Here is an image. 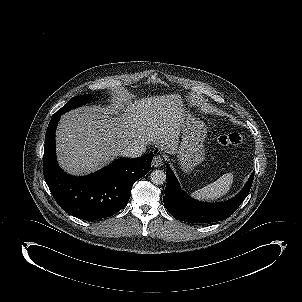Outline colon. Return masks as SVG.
<instances>
[{
	"instance_id": "5ec220e1",
	"label": "colon",
	"mask_w": 302,
	"mask_h": 302,
	"mask_svg": "<svg viewBox=\"0 0 302 302\" xmlns=\"http://www.w3.org/2000/svg\"><path fill=\"white\" fill-rule=\"evenodd\" d=\"M220 146H237L242 142V136L239 133L221 134L216 138Z\"/></svg>"
}]
</instances>
